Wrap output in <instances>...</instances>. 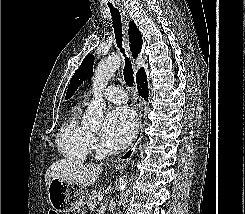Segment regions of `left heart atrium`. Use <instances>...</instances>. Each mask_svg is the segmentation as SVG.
I'll return each mask as SVG.
<instances>
[{
  "instance_id": "39dd6f15",
  "label": "left heart atrium",
  "mask_w": 245,
  "mask_h": 214,
  "mask_svg": "<svg viewBox=\"0 0 245 214\" xmlns=\"http://www.w3.org/2000/svg\"><path fill=\"white\" fill-rule=\"evenodd\" d=\"M136 120L133 112L127 107L112 110L105 118L100 138L105 150L115 153L123 149L132 140Z\"/></svg>"
}]
</instances>
